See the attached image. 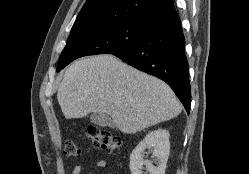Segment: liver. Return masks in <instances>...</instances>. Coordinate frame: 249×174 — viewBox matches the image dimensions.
<instances>
[{"label":"liver","mask_w":249,"mask_h":174,"mask_svg":"<svg viewBox=\"0 0 249 174\" xmlns=\"http://www.w3.org/2000/svg\"><path fill=\"white\" fill-rule=\"evenodd\" d=\"M66 119L108 114L123 133L134 134L177 117L182 105L160 79L109 54L75 61L57 93Z\"/></svg>","instance_id":"6515ba94"}]
</instances>
